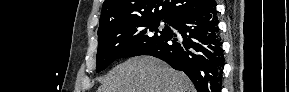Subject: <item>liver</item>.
<instances>
[{"instance_id":"liver-1","label":"liver","mask_w":289,"mask_h":92,"mask_svg":"<svg viewBox=\"0 0 289 92\" xmlns=\"http://www.w3.org/2000/svg\"><path fill=\"white\" fill-rule=\"evenodd\" d=\"M98 92H195L189 78L152 56H136L113 68Z\"/></svg>"}]
</instances>
